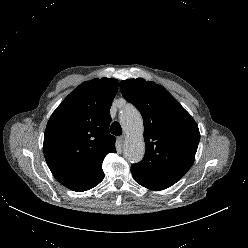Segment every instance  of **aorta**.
Returning <instances> with one entry per match:
<instances>
[{
    "label": "aorta",
    "instance_id": "obj_1",
    "mask_svg": "<svg viewBox=\"0 0 248 248\" xmlns=\"http://www.w3.org/2000/svg\"><path fill=\"white\" fill-rule=\"evenodd\" d=\"M120 122L126 133L124 156L129 162L137 163L142 160L145 153L141 114L132 106L126 107L120 113Z\"/></svg>",
    "mask_w": 248,
    "mask_h": 248
}]
</instances>
